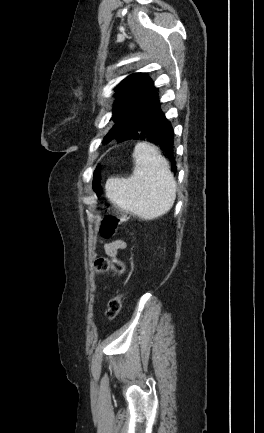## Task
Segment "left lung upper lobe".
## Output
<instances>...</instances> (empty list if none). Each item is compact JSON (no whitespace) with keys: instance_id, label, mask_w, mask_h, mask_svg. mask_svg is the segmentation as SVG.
I'll return each instance as SVG.
<instances>
[{"instance_id":"5c2ea615","label":"left lung upper lobe","mask_w":264,"mask_h":433,"mask_svg":"<svg viewBox=\"0 0 264 433\" xmlns=\"http://www.w3.org/2000/svg\"><path fill=\"white\" fill-rule=\"evenodd\" d=\"M152 84L153 81L145 73H133L119 83L116 88V102L112 115L115 124L105 136V142H110L114 138L119 142L128 139V131L121 125L120 120Z\"/></svg>"}]
</instances>
